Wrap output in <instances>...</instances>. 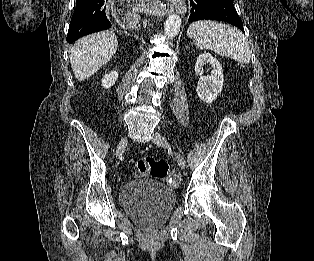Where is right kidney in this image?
Segmentation results:
<instances>
[{
	"mask_svg": "<svg viewBox=\"0 0 314 261\" xmlns=\"http://www.w3.org/2000/svg\"><path fill=\"white\" fill-rule=\"evenodd\" d=\"M118 78V72L117 71H110L108 74H105L101 80L102 86L104 88H110L113 86Z\"/></svg>",
	"mask_w": 314,
	"mask_h": 261,
	"instance_id": "obj_1",
	"label": "right kidney"
}]
</instances>
